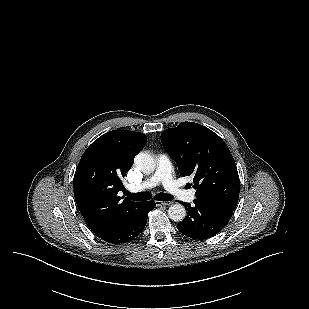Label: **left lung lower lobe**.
Returning a JSON list of instances; mask_svg holds the SVG:
<instances>
[{
  "mask_svg": "<svg viewBox=\"0 0 309 309\" xmlns=\"http://www.w3.org/2000/svg\"><path fill=\"white\" fill-rule=\"evenodd\" d=\"M187 216L177 225L178 230L193 239H208L220 232L230 220L233 212L203 200L194 205L183 203Z\"/></svg>",
  "mask_w": 309,
  "mask_h": 309,
  "instance_id": "left-lung-lower-lobe-1",
  "label": "left lung lower lobe"
}]
</instances>
